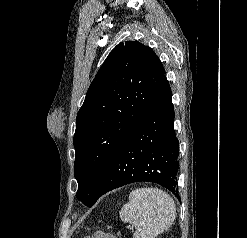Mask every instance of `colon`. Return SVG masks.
I'll list each match as a JSON object with an SVG mask.
<instances>
[{
	"instance_id": "1",
	"label": "colon",
	"mask_w": 247,
	"mask_h": 238,
	"mask_svg": "<svg viewBox=\"0 0 247 238\" xmlns=\"http://www.w3.org/2000/svg\"><path fill=\"white\" fill-rule=\"evenodd\" d=\"M85 238H118V237L111 232L96 231L94 234L87 235Z\"/></svg>"
}]
</instances>
